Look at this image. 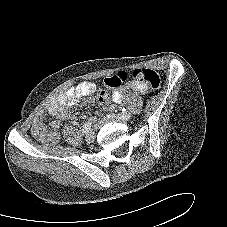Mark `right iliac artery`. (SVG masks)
Returning a JSON list of instances; mask_svg holds the SVG:
<instances>
[{"label":"right iliac artery","mask_w":227,"mask_h":227,"mask_svg":"<svg viewBox=\"0 0 227 227\" xmlns=\"http://www.w3.org/2000/svg\"><path fill=\"white\" fill-rule=\"evenodd\" d=\"M91 129V123L90 122H86L83 127H82V133L83 134H87Z\"/></svg>","instance_id":"obj_1"}]
</instances>
